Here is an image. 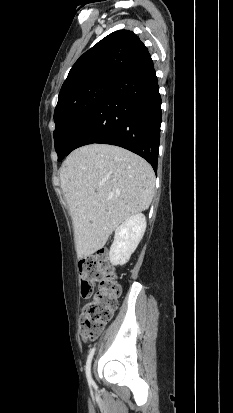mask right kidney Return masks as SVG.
Listing matches in <instances>:
<instances>
[{
	"instance_id": "obj_1",
	"label": "right kidney",
	"mask_w": 233,
	"mask_h": 413,
	"mask_svg": "<svg viewBox=\"0 0 233 413\" xmlns=\"http://www.w3.org/2000/svg\"><path fill=\"white\" fill-rule=\"evenodd\" d=\"M146 229V218L138 213L126 219L115 230L109 258L112 265H124L140 243Z\"/></svg>"
}]
</instances>
